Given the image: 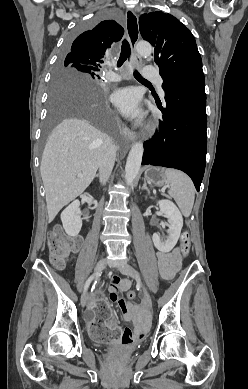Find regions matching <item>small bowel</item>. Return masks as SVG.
Wrapping results in <instances>:
<instances>
[{"mask_svg":"<svg viewBox=\"0 0 248 389\" xmlns=\"http://www.w3.org/2000/svg\"><path fill=\"white\" fill-rule=\"evenodd\" d=\"M157 262L159 273L162 278L171 280L180 269V254L177 248L170 252H158ZM111 285L109 290V301L119 306L123 313V319L133 325V329H125L121 335L123 344H133L142 340L149 331V323L146 318V307L144 304H135L125 302L121 296L122 292L131 287V281L120 278L118 272H112L110 277ZM86 318L89 321L94 320L93 306L91 305L87 312ZM108 326H116L114 319L108 322Z\"/></svg>","mask_w":248,"mask_h":389,"instance_id":"small-bowel-1","label":"small bowel"}]
</instances>
